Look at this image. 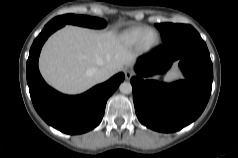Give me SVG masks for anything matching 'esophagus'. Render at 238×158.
Masks as SVG:
<instances>
[{"mask_svg": "<svg viewBox=\"0 0 238 158\" xmlns=\"http://www.w3.org/2000/svg\"><path fill=\"white\" fill-rule=\"evenodd\" d=\"M124 74H125V78H126L127 80H130L131 77L134 75V72H133L132 70H130V69H126L125 72H124Z\"/></svg>", "mask_w": 238, "mask_h": 158, "instance_id": "34e87169", "label": "esophagus"}]
</instances>
